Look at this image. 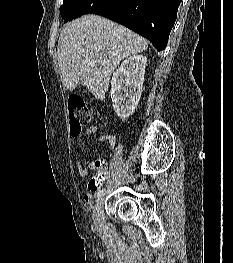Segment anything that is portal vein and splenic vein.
<instances>
[{"mask_svg": "<svg viewBox=\"0 0 233 263\" xmlns=\"http://www.w3.org/2000/svg\"><path fill=\"white\" fill-rule=\"evenodd\" d=\"M89 64H90L91 66H95L96 61H95L94 59H91V60H89Z\"/></svg>", "mask_w": 233, "mask_h": 263, "instance_id": "obj_1", "label": "portal vein and splenic vein"}]
</instances>
